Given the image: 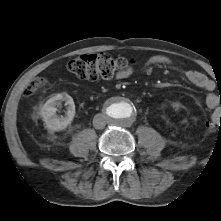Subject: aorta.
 <instances>
[{
    "label": "aorta",
    "instance_id": "762f6f07",
    "mask_svg": "<svg viewBox=\"0 0 221 221\" xmlns=\"http://www.w3.org/2000/svg\"><path fill=\"white\" fill-rule=\"evenodd\" d=\"M105 113L110 123L126 126L135 118L136 107L128 99L118 98L108 103Z\"/></svg>",
    "mask_w": 221,
    "mask_h": 221
}]
</instances>
